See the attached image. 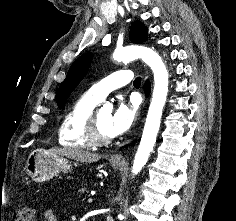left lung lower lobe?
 Here are the masks:
<instances>
[{"mask_svg":"<svg viewBox=\"0 0 236 221\" xmlns=\"http://www.w3.org/2000/svg\"><path fill=\"white\" fill-rule=\"evenodd\" d=\"M149 93H150V83H149V81H146V83H145V94H146V96H148Z\"/></svg>","mask_w":236,"mask_h":221,"instance_id":"1","label":"left lung lower lobe"}]
</instances>
